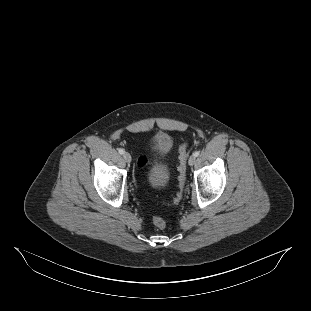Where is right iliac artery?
I'll use <instances>...</instances> for the list:
<instances>
[{
    "mask_svg": "<svg viewBox=\"0 0 311 311\" xmlns=\"http://www.w3.org/2000/svg\"><path fill=\"white\" fill-rule=\"evenodd\" d=\"M118 152H119L120 154H123V153H124V150H123L122 148H120V149H118Z\"/></svg>",
    "mask_w": 311,
    "mask_h": 311,
    "instance_id": "82829eb1",
    "label": "right iliac artery"
}]
</instances>
